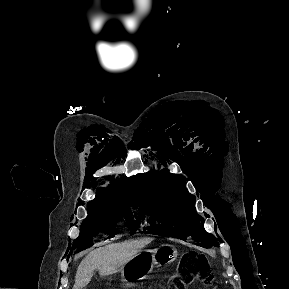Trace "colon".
Here are the masks:
<instances>
[{"instance_id":"obj_1","label":"colon","mask_w":289,"mask_h":289,"mask_svg":"<svg viewBox=\"0 0 289 289\" xmlns=\"http://www.w3.org/2000/svg\"><path fill=\"white\" fill-rule=\"evenodd\" d=\"M210 278V267L198 253L190 252L174 281L178 289H182L195 283L208 284L210 283Z\"/></svg>"}]
</instances>
